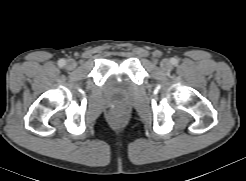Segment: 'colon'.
<instances>
[{
  "mask_svg": "<svg viewBox=\"0 0 246 181\" xmlns=\"http://www.w3.org/2000/svg\"><path fill=\"white\" fill-rule=\"evenodd\" d=\"M115 121H116V122H119V121H120V117H119V116L116 117V118H115Z\"/></svg>",
  "mask_w": 246,
  "mask_h": 181,
  "instance_id": "obj_1",
  "label": "colon"
}]
</instances>
